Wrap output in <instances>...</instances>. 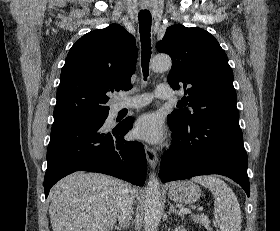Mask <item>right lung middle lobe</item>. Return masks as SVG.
<instances>
[{
  "mask_svg": "<svg viewBox=\"0 0 280 231\" xmlns=\"http://www.w3.org/2000/svg\"><path fill=\"white\" fill-rule=\"evenodd\" d=\"M107 116H108V113L102 114L99 116L90 117V118L80 120V121L103 122L104 120H106Z\"/></svg>",
  "mask_w": 280,
  "mask_h": 231,
  "instance_id": "obj_1",
  "label": "right lung middle lobe"
}]
</instances>
